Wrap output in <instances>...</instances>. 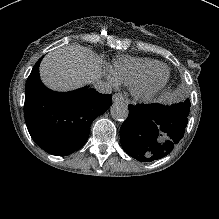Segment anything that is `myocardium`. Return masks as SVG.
<instances>
[{
    "mask_svg": "<svg viewBox=\"0 0 219 219\" xmlns=\"http://www.w3.org/2000/svg\"><path fill=\"white\" fill-rule=\"evenodd\" d=\"M169 80V69L164 65L158 67L132 87V97L137 102H151L164 91Z\"/></svg>",
    "mask_w": 219,
    "mask_h": 219,
    "instance_id": "myocardium-1",
    "label": "myocardium"
}]
</instances>
